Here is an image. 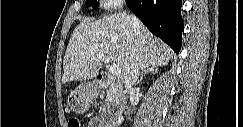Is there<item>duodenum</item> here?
<instances>
[{"mask_svg":"<svg viewBox=\"0 0 243 127\" xmlns=\"http://www.w3.org/2000/svg\"><path fill=\"white\" fill-rule=\"evenodd\" d=\"M95 86L98 89H110L116 95V110H119L121 103L124 101V97L122 95L123 88L119 80L115 79L111 75L107 73H100L95 77ZM100 125L103 127H107L104 124V119L100 118Z\"/></svg>","mask_w":243,"mask_h":127,"instance_id":"1","label":"duodenum"}]
</instances>
